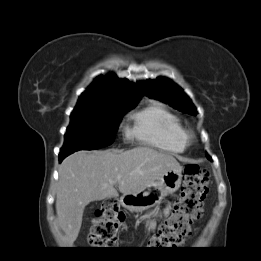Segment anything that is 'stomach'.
Returning a JSON list of instances; mask_svg holds the SVG:
<instances>
[{
	"label": "stomach",
	"mask_w": 261,
	"mask_h": 261,
	"mask_svg": "<svg viewBox=\"0 0 261 261\" xmlns=\"http://www.w3.org/2000/svg\"><path fill=\"white\" fill-rule=\"evenodd\" d=\"M182 168H174L164 173L154 183L133 194H123L120 202L131 212H142L159 204L166 196L176 192L182 180Z\"/></svg>",
	"instance_id": "0dacf381"
}]
</instances>
